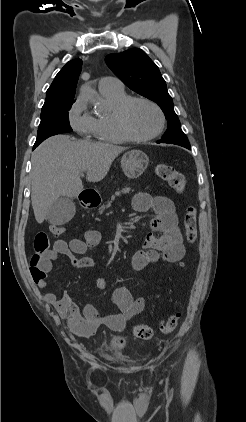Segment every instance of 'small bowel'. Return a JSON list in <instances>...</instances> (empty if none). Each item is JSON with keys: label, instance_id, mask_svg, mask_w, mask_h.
<instances>
[{"label": "small bowel", "instance_id": "c3829d8e", "mask_svg": "<svg viewBox=\"0 0 246 422\" xmlns=\"http://www.w3.org/2000/svg\"><path fill=\"white\" fill-rule=\"evenodd\" d=\"M134 209L139 213L152 211L153 217L149 220L150 231L147 233L141 249L136 251L131 258L132 268L140 271L148 266L161 262L177 263L185 256V246L181 231L178 226V217L174 202L165 196H152L140 193L136 196ZM101 233L97 230H88L84 239L70 241L56 240L45 256L43 268L45 277L34 280L39 289L47 287L46 277L51 270V264L59 255L70 258L77 269H86L95 265V260L86 255L87 251L99 244ZM95 287L99 291L106 290V282L98 278ZM113 302L118 306L119 313L101 315L91 304H86L82 310L74 303L68 293L58 298L52 292H45L43 299L51 304L63 318H67L71 330L81 336L92 335L98 327L107 326L113 331H122L127 321L145 308L143 297H134L126 287L113 289L111 293Z\"/></svg>", "mask_w": 246, "mask_h": 422}]
</instances>
